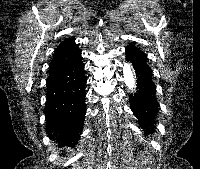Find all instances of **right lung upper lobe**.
<instances>
[{
	"mask_svg": "<svg viewBox=\"0 0 200 169\" xmlns=\"http://www.w3.org/2000/svg\"><path fill=\"white\" fill-rule=\"evenodd\" d=\"M80 53L78 45L74 43V38L64 40L55 50L50 66L65 63L72 60Z\"/></svg>",
	"mask_w": 200,
	"mask_h": 169,
	"instance_id": "right-lung-upper-lobe-1",
	"label": "right lung upper lobe"
}]
</instances>
